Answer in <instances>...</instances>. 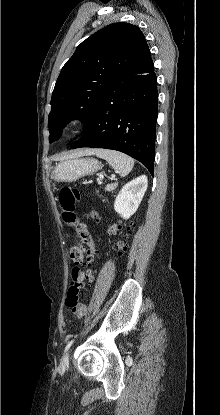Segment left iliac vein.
<instances>
[{
  "label": "left iliac vein",
  "mask_w": 220,
  "mask_h": 415,
  "mask_svg": "<svg viewBox=\"0 0 220 415\" xmlns=\"http://www.w3.org/2000/svg\"><path fill=\"white\" fill-rule=\"evenodd\" d=\"M68 359H69V356H68V353H66L61 360V365L66 366L68 364Z\"/></svg>",
  "instance_id": "1"
}]
</instances>
